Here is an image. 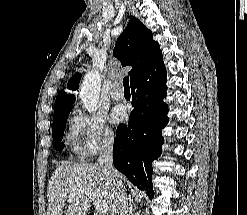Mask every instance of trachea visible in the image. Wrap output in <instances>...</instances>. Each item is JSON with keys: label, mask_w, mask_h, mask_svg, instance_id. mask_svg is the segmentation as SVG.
I'll return each instance as SVG.
<instances>
[{"label": "trachea", "mask_w": 247, "mask_h": 215, "mask_svg": "<svg viewBox=\"0 0 247 215\" xmlns=\"http://www.w3.org/2000/svg\"><path fill=\"white\" fill-rule=\"evenodd\" d=\"M123 86H124V90H130V87H129V77H125L123 79Z\"/></svg>", "instance_id": "1"}]
</instances>
